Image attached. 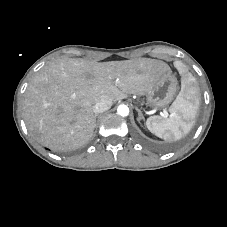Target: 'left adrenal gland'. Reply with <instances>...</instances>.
I'll list each match as a JSON object with an SVG mask.
<instances>
[{
	"label": "left adrenal gland",
	"mask_w": 227,
	"mask_h": 227,
	"mask_svg": "<svg viewBox=\"0 0 227 227\" xmlns=\"http://www.w3.org/2000/svg\"><path fill=\"white\" fill-rule=\"evenodd\" d=\"M136 110L138 112L137 121L140 122L141 119L144 120V116H143L142 112L140 111V109L136 108Z\"/></svg>",
	"instance_id": "left-adrenal-gland-1"
}]
</instances>
